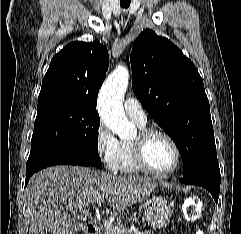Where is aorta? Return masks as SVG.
<instances>
[{
	"label": "aorta",
	"mask_w": 241,
	"mask_h": 234,
	"mask_svg": "<svg viewBox=\"0 0 241 234\" xmlns=\"http://www.w3.org/2000/svg\"><path fill=\"white\" fill-rule=\"evenodd\" d=\"M128 83L129 71L118 66L103 83L98 97V111L102 121L121 139L136 134V127L128 121L122 105Z\"/></svg>",
	"instance_id": "obj_1"
}]
</instances>
